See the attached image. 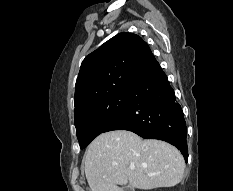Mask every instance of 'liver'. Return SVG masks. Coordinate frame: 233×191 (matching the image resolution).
Returning a JSON list of instances; mask_svg holds the SVG:
<instances>
[{
	"label": "liver",
	"mask_w": 233,
	"mask_h": 191,
	"mask_svg": "<svg viewBox=\"0 0 233 191\" xmlns=\"http://www.w3.org/2000/svg\"><path fill=\"white\" fill-rule=\"evenodd\" d=\"M84 160L91 191H122L119 186L128 182L141 190L173 187L181 182L185 169L177 148L160 140H143L127 130L100 134L89 145Z\"/></svg>",
	"instance_id": "1"
}]
</instances>
